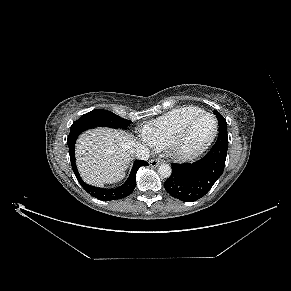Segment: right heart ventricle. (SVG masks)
<instances>
[{"instance_id": "e07e8e85", "label": "right heart ventricle", "mask_w": 291, "mask_h": 291, "mask_svg": "<svg viewBox=\"0 0 291 291\" xmlns=\"http://www.w3.org/2000/svg\"><path fill=\"white\" fill-rule=\"evenodd\" d=\"M203 112V109L195 106L173 109L145 125L143 138L154 148L166 147L189 120Z\"/></svg>"}]
</instances>
